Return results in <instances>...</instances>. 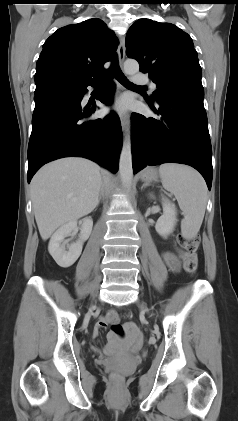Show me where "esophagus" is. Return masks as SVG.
<instances>
[{"label": "esophagus", "mask_w": 238, "mask_h": 421, "mask_svg": "<svg viewBox=\"0 0 238 421\" xmlns=\"http://www.w3.org/2000/svg\"><path fill=\"white\" fill-rule=\"evenodd\" d=\"M125 51H126L125 38H124V36H120L117 52H118V59H119V63H120L121 67H122L123 62L125 60ZM120 121H121V126H122L123 131L125 133H127L129 131V125H130L128 115H125V114L121 115Z\"/></svg>", "instance_id": "34e87169"}]
</instances>
